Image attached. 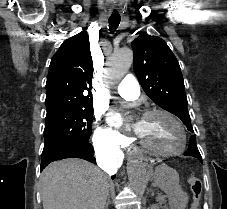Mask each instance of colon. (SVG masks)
<instances>
[{"label": "colon", "mask_w": 227, "mask_h": 209, "mask_svg": "<svg viewBox=\"0 0 227 209\" xmlns=\"http://www.w3.org/2000/svg\"><path fill=\"white\" fill-rule=\"evenodd\" d=\"M188 185L192 193V203L190 209H200L201 197H202V183L197 177H189Z\"/></svg>", "instance_id": "obj_1"}]
</instances>
